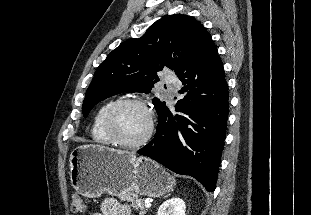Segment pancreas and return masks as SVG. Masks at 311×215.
I'll use <instances>...</instances> for the list:
<instances>
[{
    "label": "pancreas",
    "instance_id": "1",
    "mask_svg": "<svg viewBox=\"0 0 311 215\" xmlns=\"http://www.w3.org/2000/svg\"><path fill=\"white\" fill-rule=\"evenodd\" d=\"M121 200L130 202L131 207L139 212V215H144L146 209L143 204V199L139 198L138 194L129 192L120 196Z\"/></svg>",
    "mask_w": 311,
    "mask_h": 215
}]
</instances>
